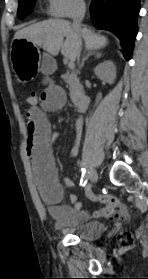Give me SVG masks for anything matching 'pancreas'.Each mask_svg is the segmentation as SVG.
<instances>
[{
  "label": "pancreas",
  "mask_w": 148,
  "mask_h": 279,
  "mask_svg": "<svg viewBox=\"0 0 148 279\" xmlns=\"http://www.w3.org/2000/svg\"><path fill=\"white\" fill-rule=\"evenodd\" d=\"M61 78L69 85L70 97L74 103H77L78 99L83 94V88L75 73H66Z\"/></svg>",
  "instance_id": "1"
}]
</instances>
